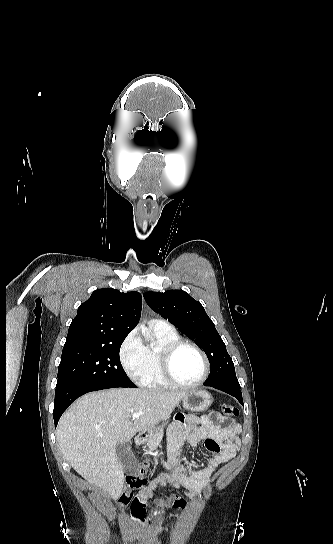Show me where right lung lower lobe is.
Segmentation results:
<instances>
[{
  "instance_id": "right-lung-lower-lobe-1",
  "label": "right lung lower lobe",
  "mask_w": 333,
  "mask_h": 544,
  "mask_svg": "<svg viewBox=\"0 0 333 544\" xmlns=\"http://www.w3.org/2000/svg\"><path fill=\"white\" fill-rule=\"evenodd\" d=\"M114 388L113 386H83L78 383H57L53 417L55 426L68 406L78 397L92 391Z\"/></svg>"
}]
</instances>
